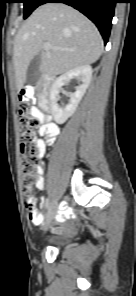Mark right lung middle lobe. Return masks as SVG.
<instances>
[{
    "label": "right lung middle lobe",
    "mask_w": 136,
    "mask_h": 296,
    "mask_svg": "<svg viewBox=\"0 0 136 296\" xmlns=\"http://www.w3.org/2000/svg\"><path fill=\"white\" fill-rule=\"evenodd\" d=\"M44 0H19L24 3V19H26Z\"/></svg>",
    "instance_id": "right-lung-middle-lobe-1"
}]
</instances>
